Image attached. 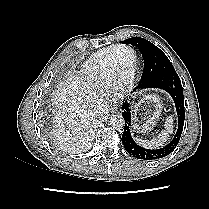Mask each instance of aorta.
Segmentation results:
<instances>
[{
  "label": "aorta",
  "mask_w": 209,
  "mask_h": 209,
  "mask_svg": "<svg viewBox=\"0 0 209 209\" xmlns=\"http://www.w3.org/2000/svg\"><path fill=\"white\" fill-rule=\"evenodd\" d=\"M125 121L122 115L116 114L112 115L109 118V125H111L114 129H122L124 127Z\"/></svg>",
  "instance_id": "1"
}]
</instances>
